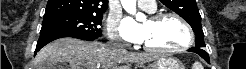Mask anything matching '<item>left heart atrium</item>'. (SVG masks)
Returning a JSON list of instances; mask_svg holds the SVG:
<instances>
[{
	"mask_svg": "<svg viewBox=\"0 0 246 69\" xmlns=\"http://www.w3.org/2000/svg\"><path fill=\"white\" fill-rule=\"evenodd\" d=\"M123 38L131 43H139L143 41L144 30L142 26L136 25L133 19L128 18L122 27Z\"/></svg>",
	"mask_w": 246,
	"mask_h": 69,
	"instance_id": "obj_1",
	"label": "left heart atrium"
}]
</instances>
